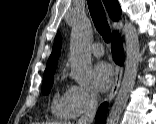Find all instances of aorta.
Wrapping results in <instances>:
<instances>
[{"instance_id":"1","label":"aorta","mask_w":156,"mask_h":124,"mask_svg":"<svg viewBox=\"0 0 156 124\" xmlns=\"http://www.w3.org/2000/svg\"><path fill=\"white\" fill-rule=\"evenodd\" d=\"M123 32L126 42L125 70L121 86L111 107L106 124H119L120 117L127 105L138 73L140 60L139 37L136 28L128 21ZM92 35L91 21L78 19L74 24L70 39V63L72 78L80 85L88 84L92 78L90 39Z\"/></svg>"}]
</instances>
